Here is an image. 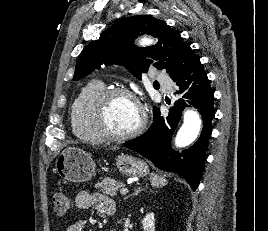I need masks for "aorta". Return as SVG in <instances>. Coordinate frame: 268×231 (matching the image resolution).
<instances>
[{
  "label": "aorta",
  "mask_w": 268,
  "mask_h": 231,
  "mask_svg": "<svg viewBox=\"0 0 268 231\" xmlns=\"http://www.w3.org/2000/svg\"><path fill=\"white\" fill-rule=\"evenodd\" d=\"M151 43H153V40L143 38L140 45L145 46ZM201 124L202 121L199 114L192 109H187L183 115V124L175 138L176 147L182 148L193 143L200 133Z\"/></svg>",
  "instance_id": "762f6f07"
}]
</instances>
